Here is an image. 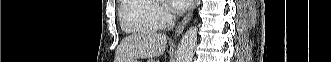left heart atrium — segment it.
Wrapping results in <instances>:
<instances>
[{
    "label": "left heart atrium",
    "instance_id": "39dd6f15",
    "mask_svg": "<svg viewBox=\"0 0 331 62\" xmlns=\"http://www.w3.org/2000/svg\"><path fill=\"white\" fill-rule=\"evenodd\" d=\"M168 3L174 12L181 13L189 6L191 0H169Z\"/></svg>",
    "mask_w": 331,
    "mask_h": 62
}]
</instances>
